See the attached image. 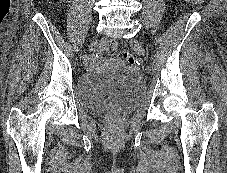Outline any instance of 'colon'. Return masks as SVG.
<instances>
[{"instance_id":"5ec220e1","label":"colon","mask_w":227,"mask_h":173,"mask_svg":"<svg viewBox=\"0 0 227 173\" xmlns=\"http://www.w3.org/2000/svg\"><path fill=\"white\" fill-rule=\"evenodd\" d=\"M191 3H200L203 0H188ZM106 50L111 54H116L118 59L127 67L135 68L137 66L135 57L128 52H118L117 44L113 41H110L106 44Z\"/></svg>"}]
</instances>
